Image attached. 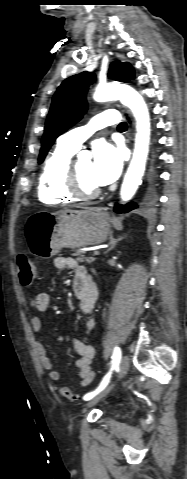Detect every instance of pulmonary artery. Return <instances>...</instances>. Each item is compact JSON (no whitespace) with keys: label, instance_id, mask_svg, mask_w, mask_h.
Segmentation results:
<instances>
[{"label":"pulmonary artery","instance_id":"obj_1","mask_svg":"<svg viewBox=\"0 0 187 479\" xmlns=\"http://www.w3.org/2000/svg\"><path fill=\"white\" fill-rule=\"evenodd\" d=\"M119 122V113L109 109L95 115L91 121L82 127L75 128L59 137L58 142L73 150H78L81 144L96 130Z\"/></svg>","mask_w":187,"mask_h":479}]
</instances>
